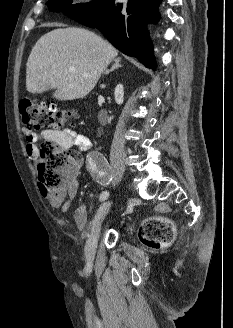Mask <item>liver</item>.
Masks as SVG:
<instances>
[{"label": "liver", "mask_w": 233, "mask_h": 328, "mask_svg": "<svg viewBox=\"0 0 233 328\" xmlns=\"http://www.w3.org/2000/svg\"><path fill=\"white\" fill-rule=\"evenodd\" d=\"M118 51L95 33L76 27L52 30L36 42L26 65V88L41 93L54 88L58 100L86 96ZM74 67L76 72H71Z\"/></svg>", "instance_id": "obj_1"}]
</instances>
